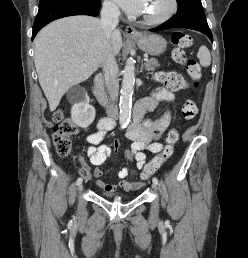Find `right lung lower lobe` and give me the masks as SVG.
<instances>
[{"mask_svg": "<svg viewBox=\"0 0 248 258\" xmlns=\"http://www.w3.org/2000/svg\"><path fill=\"white\" fill-rule=\"evenodd\" d=\"M101 0H51L39 5L32 31V40L37 32L49 22L72 15L97 16Z\"/></svg>", "mask_w": 248, "mask_h": 258, "instance_id": "right-lung-lower-lobe-1", "label": "right lung lower lobe"}]
</instances>
